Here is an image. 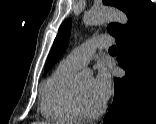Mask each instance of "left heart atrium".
Instances as JSON below:
<instances>
[{"instance_id":"left-heart-atrium-1","label":"left heart atrium","mask_w":156,"mask_h":124,"mask_svg":"<svg viewBox=\"0 0 156 124\" xmlns=\"http://www.w3.org/2000/svg\"><path fill=\"white\" fill-rule=\"evenodd\" d=\"M92 88L98 100L104 104L112 91V79L109 70L100 66L95 78L92 80Z\"/></svg>"}]
</instances>
